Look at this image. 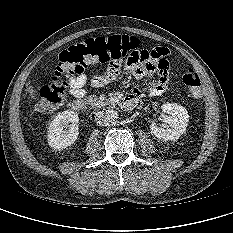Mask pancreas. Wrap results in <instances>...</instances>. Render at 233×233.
Listing matches in <instances>:
<instances>
[{"label":"pancreas","instance_id":"pancreas-1","mask_svg":"<svg viewBox=\"0 0 233 233\" xmlns=\"http://www.w3.org/2000/svg\"><path fill=\"white\" fill-rule=\"evenodd\" d=\"M87 103L90 104L91 106L95 107H102L105 105V102L101 101L97 96L95 95H89L86 99Z\"/></svg>","mask_w":233,"mask_h":233}]
</instances>
